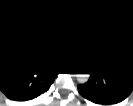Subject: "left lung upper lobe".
<instances>
[{
	"label": "left lung upper lobe",
	"mask_w": 133,
	"mask_h": 106,
	"mask_svg": "<svg viewBox=\"0 0 133 106\" xmlns=\"http://www.w3.org/2000/svg\"><path fill=\"white\" fill-rule=\"evenodd\" d=\"M89 79L78 87L80 94L98 105H115L133 90V56L121 47L96 40L83 50Z\"/></svg>",
	"instance_id": "5c2ea615"
}]
</instances>
